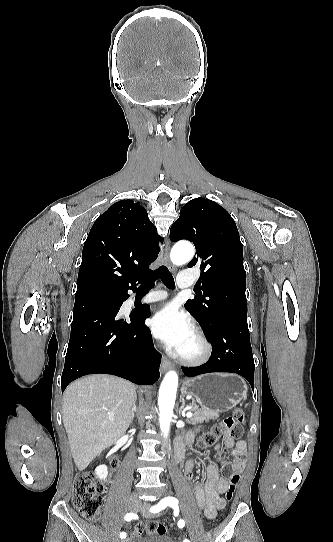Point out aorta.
<instances>
[{
    "mask_svg": "<svg viewBox=\"0 0 333 542\" xmlns=\"http://www.w3.org/2000/svg\"><path fill=\"white\" fill-rule=\"evenodd\" d=\"M172 254H176L177 256V266H182V264H186V262H189V260L193 258L194 248L191 244H188V242H178V244H175L174 248H172L171 256ZM178 380L177 372H173V370L167 372L159 390V424L164 438L169 434L170 424L173 418Z\"/></svg>",
    "mask_w": 333,
    "mask_h": 542,
    "instance_id": "aorta-1",
    "label": "aorta"
}]
</instances>
